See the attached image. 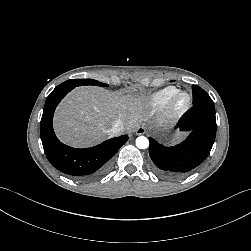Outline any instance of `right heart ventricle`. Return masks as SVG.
Instances as JSON below:
<instances>
[{"label": "right heart ventricle", "mask_w": 251, "mask_h": 251, "mask_svg": "<svg viewBox=\"0 0 251 251\" xmlns=\"http://www.w3.org/2000/svg\"><path fill=\"white\" fill-rule=\"evenodd\" d=\"M176 92L173 86L166 87L153 93L148 99L147 104L150 108L157 109L167 102V100Z\"/></svg>", "instance_id": "obj_1"}]
</instances>
